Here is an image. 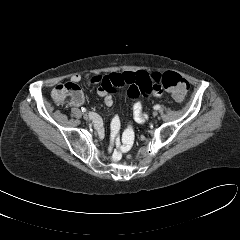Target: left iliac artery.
<instances>
[{
  "label": "left iliac artery",
  "mask_w": 240,
  "mask_h": 240,
  "mask_svg": "<svg viewBox=\"0 0 240 240\" xmlns=\"http://www.w3.org/2000/svg\"><path fill=\"white\" fill-rule=\"evenodd\" d=\"M159 108H160V105H155V106H154V109H155V110H158Z\"/></svg>",
  "instance_id": "1"
}]
</instances>
